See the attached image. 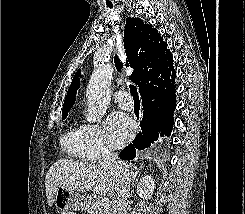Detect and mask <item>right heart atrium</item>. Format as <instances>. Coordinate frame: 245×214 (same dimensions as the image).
Masks as SVG:
<instances>
[{
  "label": "right heart atrium",
  "instance_id": "d8ad5b80",
  "mask_svg": "<svg viewBox=\"0 0 245 214\" xmlns=\"http://www.w3.org/2000/svg\"><path fill=\"white\" fill-rule=\"evenodd\" d=\"M84 157L88 160H98L110 154V148L105 141L102 129L97 124H83L80 127Z\"/></svg>",
  "mask_w": 245,
  "mask_h": 214
}]
</instances>
